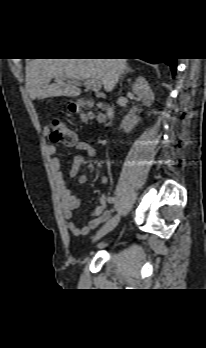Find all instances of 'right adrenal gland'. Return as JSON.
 I'll list each match as a JSON object with an SVG mask.
<instances>
[{
  "mask_svg": "<svg viewBox=\"0 0 206 348\" xmlns=\"http://www.w3.org/2000/svg\"><path fill=\"white\" fill-rule=\"evenodd\" d=\"M134 70H132L129 66L128 67H126V69H125V71H124V73H123V77H124V75H126L127 73H132ZM123 77H122V79H123ZM121 79V80H122ZM122 85V82L120 83V86Z\"/></svg>",
  "mask_w": 206,
  "mask_h": 348,
  "instance_id": "1",
  "label": "right adrenal gland"
}]
</instances>
